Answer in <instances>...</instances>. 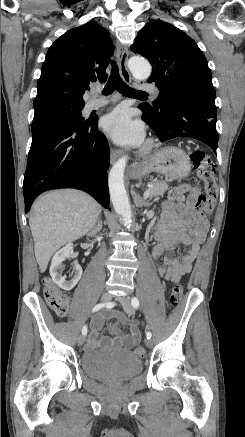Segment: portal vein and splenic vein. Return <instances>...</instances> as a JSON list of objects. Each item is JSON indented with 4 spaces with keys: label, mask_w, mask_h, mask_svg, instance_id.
Wrapping results in <instances>:
<instances>
[{
    "label": "portal vein and splenic vein",
    "mask_w": 245,
    "mask_h": 437,
    "mask_svg": "<svg viewBox=\"0 0 245 437\" xmlns=\"http://www.w3.org/2000/svg\"><path fill=\"white\" fill-rule=\"evenodd\" d=\"M150 187H151V185H149V188H148L147 190H145V192H144V194H143V196H144L145 199L148 198L149 195H150Z\"/></svg>",
    "instance_id": "portal-vein-and-splenic-vein-1"
}]
</instances>
